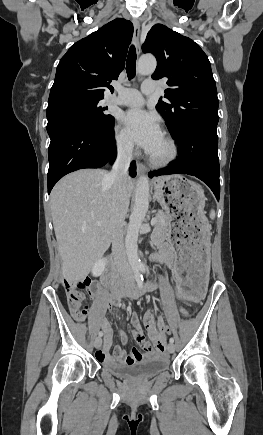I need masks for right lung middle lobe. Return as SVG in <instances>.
<instances>
[{"mask_svg": "<svg viewBox=\"0 0 263 435\" xmlns=\"http://www.w3.org/2000/svg\"><path fill=\"white\" fill-rule=\"evenodd\" d=\"M102 99L70 100L47 107V131L57 124L79 122L93 128L106 130L113 126L114 117L101 106Z\"/></svg>", "mask_w": 263, "mask_h": 435, "instance_id": "right-lung-middle-lobe-1", "label": "right lung middle lobe"}]
</instances>
